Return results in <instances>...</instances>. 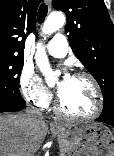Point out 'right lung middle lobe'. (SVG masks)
Instances as JSON below:
<instances>
[{"label":"right lung middle lobe","mask_w":114,"mask_h":156,"mask_svg":"<svg viewBox=\"0 0 114 156\" xmlns=\"http://www.w3.org/2000/svg\"><path fill=\"white\" fill-rule=\"evenodd\" d=\"M23 57L0 56V100L24 101L19 92V76Z\"/></svg>","instance_id":"1"}]
</instances>
